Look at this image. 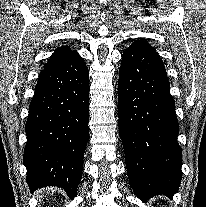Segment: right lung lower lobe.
I'll use <instances>...</instances> for the list:
<instances>
[{
	"instance_id": "1",
	"label": "right lung lower lobe",
	"mask_w": 206,
	"mask_h": 207,
	"mask_svg": "<svg viewBox=\"0 0 206 207\" xmlns=\"http://www.w3.org/2000/svg\"><path fill=\"white\" fill-rule=\"evenodd\" d=\"M88 122L89 71L82 57L41 71L25 129L23 161L31 191L57 186L76 196Z\"/></svg>"
}]
</instances>
